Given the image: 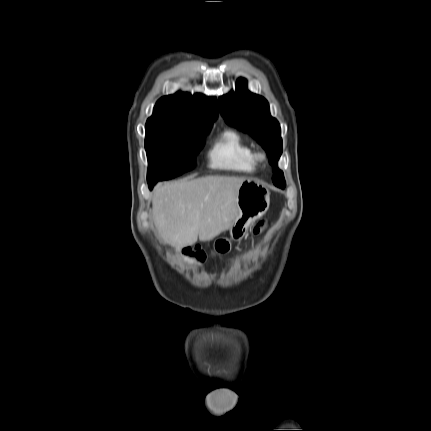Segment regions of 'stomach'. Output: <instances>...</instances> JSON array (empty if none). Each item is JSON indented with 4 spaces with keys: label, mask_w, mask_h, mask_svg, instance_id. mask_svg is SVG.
<instances>
[{
    "label": "stomach",
    "mask_w": 431,
    "mask_h": 431,
    "mask_svg": "<svg viewBox=\"0 0 431 431\" xmlns=\"http://www.w3.org/2000/svg\"><path fill=\"white\" fill-rule=\"evenodd\" d=\"M269 204L270 192L266 186L252 180L244 181L237 193V216L229 228L231 240H241L248 227L267 212ZM231 240H215L214 250L220 254L228 253L232 247Z\"/></svg>",
    "instance_id": "obj_1"
}]
</instances>
